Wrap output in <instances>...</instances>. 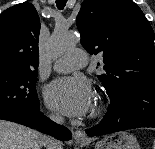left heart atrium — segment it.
I'll list each match as a JSON object with an SVG mask.
<instances>
[{"label":"left heart atrium","instance_id":"left-heart-atrium-1","mask_svg":"<svg viewBox=\"0 0 155 149\" xmlns=\"http://www.w3.org/2000/svg\"><path fill=\"white\" fill-rule=\"evenodd\" d=\"M47 105L67 116H82L94 103L89 82L83 77H64L53 81L46 89Z\"/></svg>","mask_w":155,"mask_h":149}]
</instances>
